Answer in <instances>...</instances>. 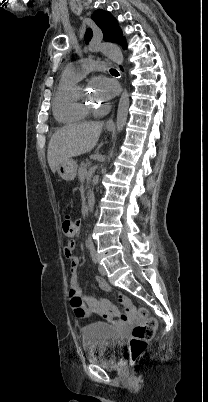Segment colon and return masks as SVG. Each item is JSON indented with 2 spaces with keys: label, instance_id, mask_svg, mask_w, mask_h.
I'll return each instance as SVG.
<instances>
[{
  "label": "colon",
  "instance_id": "colon-1",
  "mask_svg": "<svg viewBox=\"0 0 208 402\" xmlns=\"http://www.w3.org/2000/svg\"><path fill=\"white\" fill-rule=\"evenodd\" d=\"M78 222L77 220L71 218L70 216H65L62 221V233L63 237L69 241L70 236L75 234V224ZM71 306L73 311L76 315L82 316L86 313L83 311L85 307L81 297L74 295L71 297ZM139 313L146 317L148 312L145 309H141ZM158 326V319L157 318H144L143 324H139L133 327L131 342H130V349H131V356L132 360H138L146 350L147 342L150 341L156 331Z\"/></svg>",
  "mask_w": 208,
  "mask_h": 402
}]
</instances>
